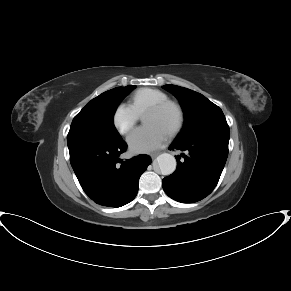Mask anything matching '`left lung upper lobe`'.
Masks as SVG:
<instances>
[{
	"label": "left lung upper lobe",
	"instance_id": "left-lung-upper-lobe-1",
	"mask_svg": "<svg viewBox=\"0 0 291 291\" xmlns=\"http://www.w3.org/2000/svg\"><path fill=\"white\" fill-rule=\"evenodd\" d=\"M179 101L185 115V125L175 142H187L205 135L229 132L222 110L205 96L176 85H164Z\"/></svg>",
	"mask_w": 291,
	"mask_h": 291
}]
</instances>
